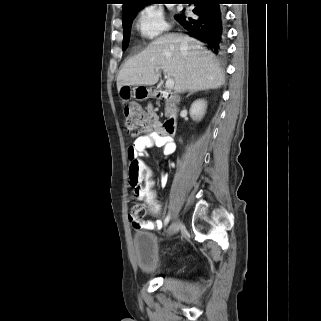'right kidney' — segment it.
<instances>
[{
    "mask_svg": "<svg viewBox=\"0 0 321 321\" xmlns=\"http://www.w3.org/2000/svg\"><path fill=\"white\" fill-rule=\"evenodd\" d=\"M206 109V101L199 99L192 103L190 108V116L193 120H200Z\"/></svg>",
    "mask_w": 321,
    "mask_h": 321,
    "instance_id": "obj_1",
    "label": "right kidney"
}]
</instances>
